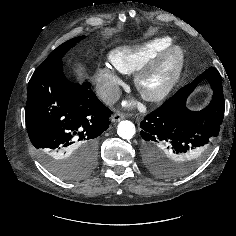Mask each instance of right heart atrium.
<instances>
[{
    "mask_svg": "<svg viewBox=\"0 0 236 236\" xmlns=\"http://www.w3.org/2000/svg\"><path fill=\"white\" fill-rule=\"evenodd\" d=\"M116 71L114 67L104 66L94 76L97 94L107 104L113 103L119 96L121 80Z\"/></svg>",
    "mask_w": 236,
    "mask_h": 236,
    "instance_id": "d8ad5b80",
    "label": "right heart atrium"
}]
</instances>
